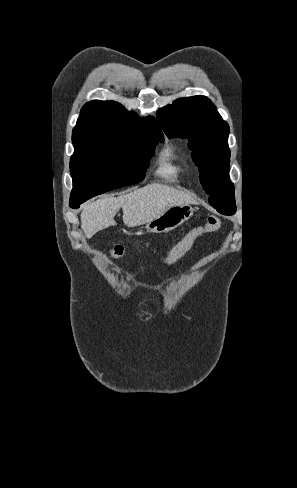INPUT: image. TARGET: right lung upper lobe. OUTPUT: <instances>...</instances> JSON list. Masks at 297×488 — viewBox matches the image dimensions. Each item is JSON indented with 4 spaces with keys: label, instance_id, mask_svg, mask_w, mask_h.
I'll list each match as a JSON object with an SVG mask.
<instances>
[{
    "label": "right lung upper lobe",
    "instance_id": "obj_1",
    "mask_svg": "<svg viewBox=\"0 0 297 488\" xmlns=\"http://www.w3.org/2000/svg\"><path fill=\"white\" fill-rule=\"evenodd\" d=\"M134 112L128 113L114 101L93 100L81 109V115L72 132L74 146L100 142L115 137H130L138 131L150 130L163 137L158 122L148 117L138 120Z\"/></svg>",
    "mask_w": 297,
    "mask_h": 488
}]
</instances>
